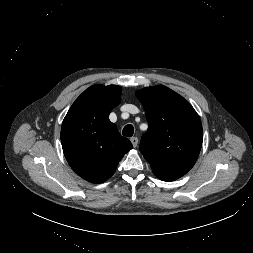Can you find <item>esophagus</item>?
Masks as SVG:
<instances>
[{"label": "esophagus", "instance_id": "esophagus-1", "mask_svg": "<svg viewBox=\"0 0 253 253\" xmlns=\"http://www.w3.org/2000/svg\"><path fill=\"white\" fill-rule=\"evenodd\" d=\"M130 141H131L133 147H137V145H138V138L137 137H132L130 139Z\"/></svg>", "mask_w": 253, "mask_h": 253}]
</instances>
